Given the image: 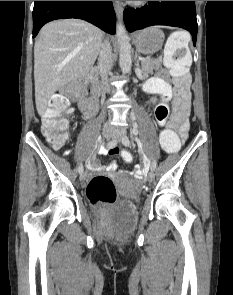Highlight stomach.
Returning a JSON list of instances; mask_svg holds the SVG:
<instances>
[{
    "mask_svg": "<svg viewBox=\"0 0 233 295\" xmlns=\"http://www.w3.org/2000/svg\"><path fill=\"white\" fill-rule=\"evenodd\" d=\"M164 33L157 27L145 28L134 35L137 51L145 55H152L162 47Z\"/></svg>",
    "mask_w": 233,
    "mask_h": 295,
    "instance_id": "obj_1",
    "label": "stomach"
}]
</instances>
